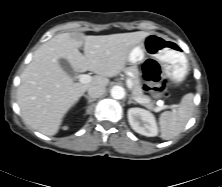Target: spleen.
<instances>
[{"label": "spleen", "instance_id": "1", "mask_svg": "<svg viewBox=\"0 0 222 187\" xmlns=\"http://www.w3.org/2000/svg\"><path fill=\"white\" fill-rule=\"evenodd\" d=\"M194 110V94L183 96L179 107L173 111H165L159 117L161 138L170 140L177 136L186 126Z\"/></svg>", "mask_w": 222, "mask_h": 187}]
</instances>
